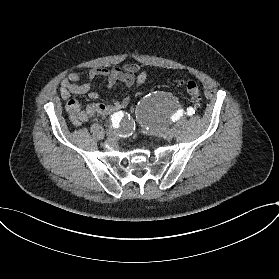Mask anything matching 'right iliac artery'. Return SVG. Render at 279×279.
Wrapping results in <instances>:
<instances>
[{
	"label": "right iliac artery",
	"mask_w": 279,
	"mask_h": 279,
	"mask_svg": "<svg viewBox=\"0 0 279 279\" xmlns=\"http://www.w3.org/2000/svg\"><path fill=\"white\" fill-rule=\"evenodd\" d=\"M120 119H121V116L119 115V113H115L114 115H112L111 120H112V127L113 128H118L119 127Z\"/></svg>",
	"instance_id": "82829eb1"
}]
</instances>
